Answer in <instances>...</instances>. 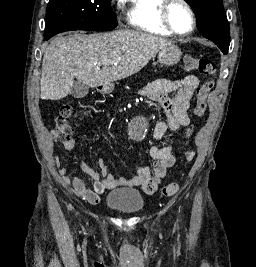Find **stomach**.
<instances>
[{"label":"stomach","mask_w":256,"mask_h":267,"mask_svg":"<svg viewBox=\"0 0 256 267\" xmlns=\"http://www.w3.org/2000/svg\"><path fill=\"white\" fill-rule=\"evenodd\" d=\"M182 58V52L175 44H167L158 54V62L162 66H175Z\"/></svg>","instance_id":"0dacf381"}]
</instances>
